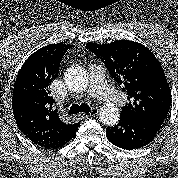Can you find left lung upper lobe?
<instances>
[{
	"label": "left lung upper lobe",
	"mask_w": 178,
	"mask_h": 178,
	"mask_svg": "<svg viewBox=\"0 0 178 178\" xmlns=\"http://www.w3.org/2000/svg\"><path fill=\"white\" fill-rule=\"evenodd\" d=\"M86 46L105 63L109 74L128 95L130 102L122 108L120 116L164 122L171 90L163 68L147 47L129 40L102 45L91 42Z\"/></svg>",
	"instance_id": "left-lung-upper-lobe-1"
}]
</instances>
